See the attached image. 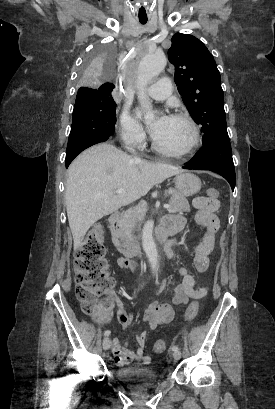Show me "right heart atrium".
<instances>
[{
  "label": "right heart atrium",
  "instance_id": "obj_1",
  "mask_svg": "<svg viewBox=\"0 0 275 409\" xmlns=\"http://www.w3.org/2000/svg\"><path fill=\"white\" fill-rule=\"evenodd\" d=\"M119 135L123 143L140 146L145 140V130L140 121L124 108L119 116Z\"/></svg>",
  "mask_w": 275,
  "mask_h": 409
}]
</instances>
